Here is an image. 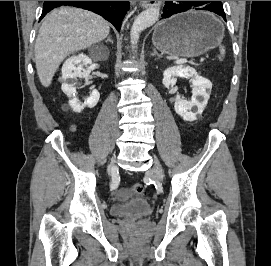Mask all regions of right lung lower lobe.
Returning a JSON list of instances; mask_svg holds the SVG:
<instances>
[{"mask_svg": "<svg viewBox=\"0 0 271 266\" xmlns=\"http://www.w3.org/2000/svg\"><path fill=\"white\" fill-rule=\"evenodd\" d=\"M62 5L81 7L97 13L111 22L117 30L120 29L122 20L129 9L127 1H45L40 20L50 10Z\"/></svg>", "mask_w": 271, "mask_h": 266, "instance_id": "98d812e1", "label": "right lung lower lobe"}]
</instances>
